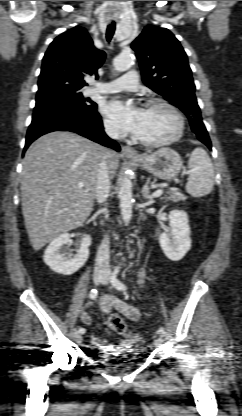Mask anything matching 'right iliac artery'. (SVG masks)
Here are the masks:
<instances>
[{
  "label": "right iliac artery",
  "mask_w": 242,
  "mask_h": 416,
  "mask_svg": "<svg viewBox=\"0 0 242 416\" xmlns=\"http://www.w3.org/2000/svg\"><path fill=\"white\" fill-rule=\"evenodd\" d=\"M97 295H98V291L96 290V289H92L91 291H90V294H89V296H90V298L91 299H96L97 298ZM78 331L81 333V334H83V333H85V329L84 328H79L78 329Z\"/></svg>",
  "instance_id": "obj_1"
}]
</instances>
